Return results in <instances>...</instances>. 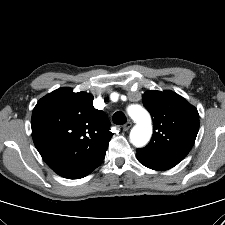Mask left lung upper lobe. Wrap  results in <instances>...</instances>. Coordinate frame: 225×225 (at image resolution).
I'll return each instance as SVG.
<instances>
[{
    "instance_id": "obj_1",
    "label": "left lung upper lobe",
    "mask_w": 225,
    "mask_h": 225,
    "mask_svg": "<svg viewBox=\"0 0 225 225\" xmlns=\"http://www.w3.org/2000/svg\"><path fill=\"white\" fill-rule=\"evenodd\" d=\"M142 101L152 116L154 133L146 147L137 149V157L160 170L170 169L187 156L195 142L198 111L172 91L150 90Z\"/></svg>"
}]
</instances>
